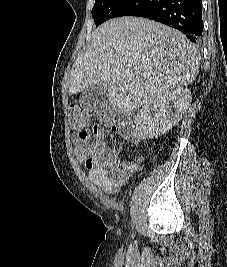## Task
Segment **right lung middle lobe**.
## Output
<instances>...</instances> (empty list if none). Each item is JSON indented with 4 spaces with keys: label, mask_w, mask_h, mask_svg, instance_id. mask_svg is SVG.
<instances>
[{
    "label": "right lung middle lobe",
    "mask_w": 227,
    "mask_h": 267,
    "mask_svg": "<svg viewBox=\"0 0 227 267\" xmlns=\"http://www.w3.org/2000/svg\"><path fill=\"white\" fill-rule=\"evenodd\" d=\"M129 0H95L92 9V17L94 18L96 27L113 18L114 14L123 7Z\"/></svg>",
    "instance_id": "1"
}]
</instances>
